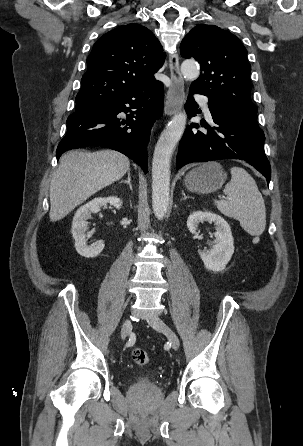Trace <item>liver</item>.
Wrapping results in <instances>:
<instances>
[{
  "instance_id": "obj_1",
  "label": "liver",
  "mask_w": 303,
  "mask_h": 446,
  "mask_svg": "<svg viewBox=\"0 0 303 446\" xmlns=\"http://www.w3.org/2000/svg\"><path fill=\"white\" fill-rule=\"evenodd\" d=\"M129 167V159L113 150L64 154L50 184V220L67 216L90 196L122 178Z\"/></svg>"
}]
</instances>
